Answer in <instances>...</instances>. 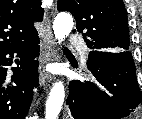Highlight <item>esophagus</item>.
<instances>
[{
	"mask_svg": "<svg viewBox=\"0 0 142 119\" xmlns=\"http://www.w3.org/2000/svg\"><path fill=\"white\" fill-rule=\"evenodd\" d=\"M56 57V49L54 44L51 22L49 17L44 21V34L42 42L41 63L39 66V82L45 86L52 81V76L45 70V65L53 61Z\"/></svg>",
	"mask_w": 142,
	"mask_h": 119,
	"instance_id": "34e87169",
	"label": "esophagus"
}]
</instances>
